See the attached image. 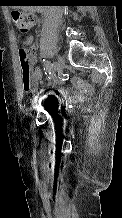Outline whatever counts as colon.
<instances>
[{"instance_id": "colon-1", "label": "colon", "mask_w": 122, "mask_h": 218, "mask_svg": "<svg viewBox=\"0 0 122 218\" xmlns=\"http://www.w3.org/2000/svg\"><path fill=\"white\" fill-rule=\"evenodd\" d=\"M11 19L14 25L21 31L27 32L34 24V17L30 14L13 10L11 12ZM20 61V74L21 82L24 91L28 92L32 88V75H31V52L25 48H21L19 51ZM77 85L85 91H90V88L86 84L78 81Z\"/></svg>"}]
</instances>
